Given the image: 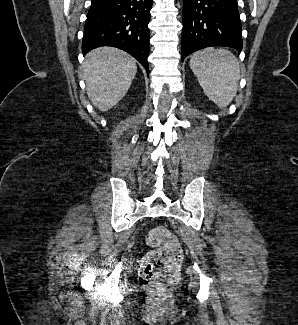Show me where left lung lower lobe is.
<instances>
[{
  "instance_id": "left-lung-lower-lobe-1",
  "label": "left lung lower lobe",
  "mask_w": 298,
  "mask_h": 325,
  "mask_svg": "<svg viewBox=\"0 0 298 325\" xmlns=\"http://www.w3.org/2000/svg\"><path fill=\"white\" fill-rule=\"evenodd\" d=\"M182 61L209 46L243 47L237 0H183Z\"/></svg>"
}]
</instances>
